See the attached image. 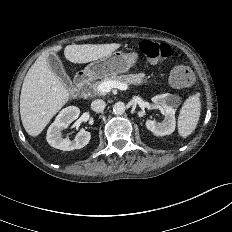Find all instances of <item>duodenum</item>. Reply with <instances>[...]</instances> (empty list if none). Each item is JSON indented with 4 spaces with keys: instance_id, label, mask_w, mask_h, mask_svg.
<instances>
[{
    "instance_id": "duodenum-1",
    "label": "duodenum",
    "mask_w": 232,
    "mask_h": 232,
    "mask_svg": "<svg viewBox=\"0 0 232 232\" xmlns=\"http://www.w3.org/2000/svg\"><path fill=\"white\" fill-rule=\"evenodd\" d=\"M90 80V75L87 72H79L75 76V84L79 88H84L87 86L88 82Z\"/></svg>"
}]
</instances>
